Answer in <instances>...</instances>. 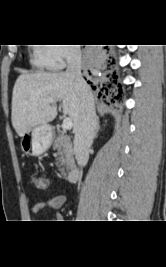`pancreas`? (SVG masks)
<instances>
[{
  "label": "pancreas",
  "mask_w": 166,
  "mask_h": 267,
  "mask_svg": "<svg viewBox=\"0 0 166 267\" xmlns=\"http://www.w3.org/2000/svg\"><path fill=\"white\" fill-rule=\"evenodd\" d=\"M53 149L57 150L56 165L61 174L65 176L66 170L68 171L74 167V153L69 136L63 133L59 135L53 144Z\"/></svg>",
  "instance_id": "pancreas-1"
}]
</instances>
